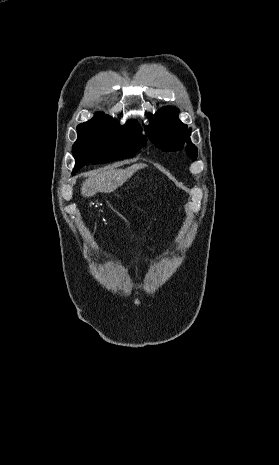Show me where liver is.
<instances>
[{
    "label": "liver",
    "instance_id": "1",
    "mask_svg": "<svg viewBox=\"0 0 279 465\" xmlns=\"http://www.w3.org/2000/svg\"><path fill=\"white\" fill-rule=\"evenodd\" d=\"M145 167V164H134L126 169L105 168L89 173L81 187L84 197H92L97 192L111 193L122 186L136 171Z\"/></svg>",
    "mask_w": 279,
    "mask_h": 465
}]
</instances>
